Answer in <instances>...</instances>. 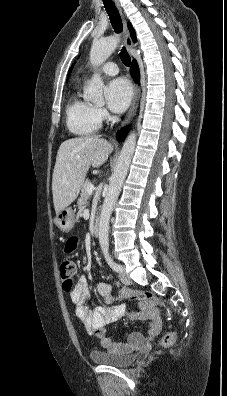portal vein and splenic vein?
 Wrapping results in <instances>:
<instances>
[{"label":"portal vein and splenic vein","mask_w":227,"mask_h":396,"mask_svg":"<svg viewBox=\"0 0 227 396\" xmlns=\"http://www.w3.org/2000/svg\"><path fill=\"white\" fill-rule=\"evenodd\" d=\"M93 191H94V186H93V185H90V186L87 188V193H88L89 195H92V194H93Z\"/></svg>","instance_id":"obj_1"}]
</instances>
